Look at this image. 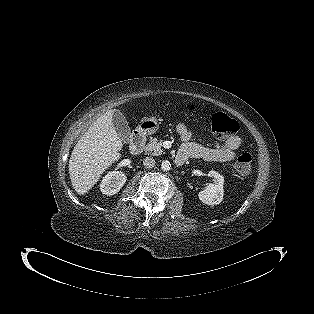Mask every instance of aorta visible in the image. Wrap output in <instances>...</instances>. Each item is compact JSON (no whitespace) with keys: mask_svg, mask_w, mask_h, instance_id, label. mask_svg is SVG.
Wrapping results in <instances>:
<instances>
[{"mask_svg":"<svg viewBox=\"0 0 314 314\" xmlns=\"http://www.w3.org/2000/svg\"><path fill=\"white\" fill-rule=\"evenodd\" d=\"M161 169L163 171H169L171 169V163L168 160H164L161 163Z\"/></svg>","mask_w":314,"mask_h":314,"instance_id":"1","label":"aorta"}]
</instances>
